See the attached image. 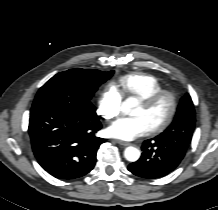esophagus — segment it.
<instances>
[{
    "label": "esophagus",
    "mask_w": 218,
    "mask_h": 210,
    "mask_svg": "<svg viewBox=\"0 0 218 210\" xmlns=\"http://www.w3.org/2000/svg\"><path fill=\"white\" fill-rule=\"evenodd\" d=\"M116 143H118L119 145L122 146H129L130 143L129 142H125V141H121V140H115Z\"/></svg>",
    "instance_id": "1"
}]
</instances>
